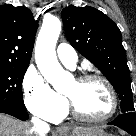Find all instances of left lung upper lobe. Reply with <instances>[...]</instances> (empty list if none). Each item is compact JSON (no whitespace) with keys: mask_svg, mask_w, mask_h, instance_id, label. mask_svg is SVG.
<instances>
[{"mask_svg":"<svg viewBox=\"0 0 136 136\" xmlns=\"http://www.w3.org/2000/svg\"><path fill=\"white\" fill-rule=\"evenodd\" d=\"M61 17L71 45L107 77L119 94L121 112H133L129 68L117 25L89 6H68Z\"/></svg>","mask_w":136,"mask_h":136,"instance_id":"left-lung-upper-lobe-1","label":"left lung upper lobe"}]
</instances>
